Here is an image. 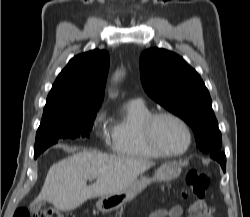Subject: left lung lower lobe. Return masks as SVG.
<instances>
[{
  "instance_id": "0a47b994",
  "label": "left lung lower lobe",
  "mask_w": 250,
  "mask_h": 217,
  "mask_svg": "<svg viewBox=\"0 0 250 217\" xmlns=\"http://www.w3.org/2000/svg\"><path fill=\"white\" fill-rule=\"evenodd\" d=\"M211 158L215 159L216 161H218L223 169V171L225 172L226 170V157L225 154L222 152H216V153H211L209 154Z\"/></svg>"
}]
</instances>
